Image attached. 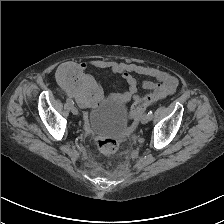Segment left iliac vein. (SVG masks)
<instances>
[{"label": "left iliac vein", "instance_id": "obj_1", "mask_svg": "<svg viewBox=\"0 0 224 224\" xmlns=\"http://www.w3.org/2000/svg\"><path fill=\"white\" fill-rule=\"evenodd\" d=\"M150 120H151V119H150V117H149L148 114H144V115L141 117V123H142V124H146V123H148Z\"/></svg>", "mask_w": 224, "mask_h": 224}]
</instances>
